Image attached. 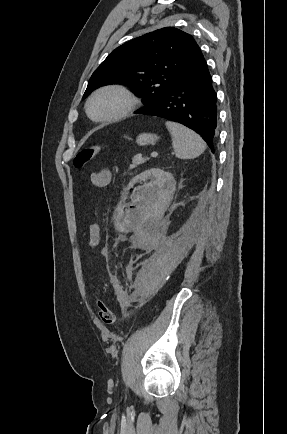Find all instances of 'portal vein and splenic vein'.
Here are the masks:
<instances>
[{
    "mask_svg": "<svg viewBox=\"0 0 287 434\" xmlns=\"http://www.w3.org/2000/svg\"><path fill=\"white\" fill-rule=\"evenodd\" d=\"M157 155H158L157 152H152V153H151V157H156Z\"/></svg>",
    "mask_w": 287,
    "mask_h": 434,
    "instance_id": "portal-vein-and-splenic-vein-1",
    "label": "portal vein and splenic vein"
}]
</instances>
